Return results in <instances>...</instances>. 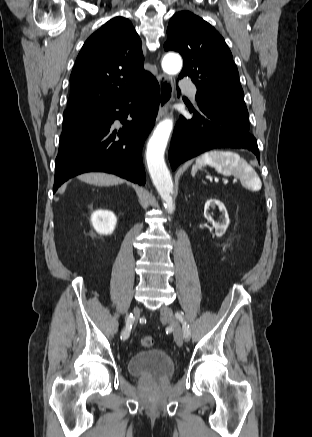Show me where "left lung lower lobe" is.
Here are the masks:
<instances>
[{
	"label": "left lung lower lobe",
	"mask_w": 312,
	"mask_h": 437,
	"mask_svg": "<svg viewBox=\"0 0 312 437\" xmlns=\"http://www.w3.org/2000/svg\"><path fill=\"white\" fill-rule=\"evenodd\" d=\"M200 112L192 119L181 116L177 122L169 149L173 170L200 153L213 148L230 147L253 152L260 160L255 137L237 124L229 114L214 106L198 104Z\"/></svg>",
	"instance_id": "left-lung-lower-lobe-1"
}]
</instances>
